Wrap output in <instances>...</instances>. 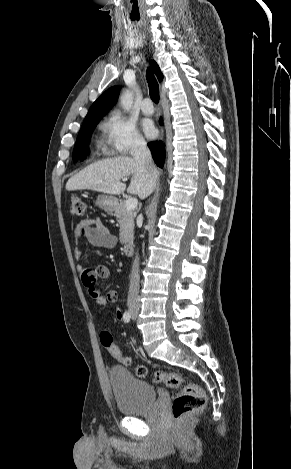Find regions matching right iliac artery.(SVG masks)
I'll list each match as a JSON object with an SVG mask.
<instances>
[{
	"instance_id": "obj_1",
	"label": "right iliac artery",
	"mask_w": 291,
	"mask_h": 469,
	"mask_svg": "<svg viewBox=\"0 0 291 469\" xmlns=\"http://www.w3.org/2000/svg\"><path fill=\"white\" fill-rule=\"evenodd\" d=\"M131 319V314L129 311H126L124 314H123V320L124 322L128 323Z\"/></svg>"
}]
</instances>
